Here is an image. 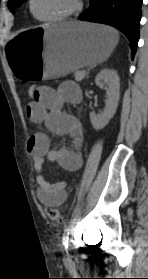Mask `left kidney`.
Instances as JSON below:
<instances>
[{
	"instance_id": "obj_1",
	"label": "left kidney",
	"mask_w": 148,
	"mask_h": 279,
	"mask_svg": "<svg viewBox=\"0 0 148 279\" xmlns=\"http://www.w3.org/2000/svg\"><path fill=\"white\" fill-rule=\"evenodd\" d=\"M95 83L100 88H104L107 93L105 108L103 112L90 113V121L96 130L104 128L114 116L120 98V79L113 69H103L95 78Z\"/></svg>"
}]
</instances>
